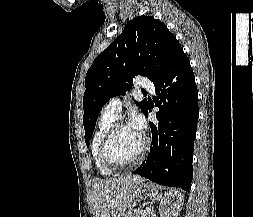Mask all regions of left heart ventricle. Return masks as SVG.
Returning <instances> with one entry per match:
<instances>
[{"label": "left heart ventricle", "mask_w": 253, "mask_h": 217, "mask_svg": "<svg viewBox=\"0 0 253 217\" xmlns=\"http://www.w3.org/2000/svg\"><path fill=\"white\" fill-rule=\"evenodd\" d=\"M142 144L143 135L127 125L120 128L112 137L108 152L113 160L119 163H126L137 156Z\"/></svg>", "instance_id": "obj_1"}]
</instances>
